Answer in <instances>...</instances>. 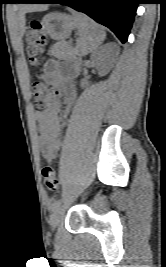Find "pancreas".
<instances>
[{
    "mask_svg": "<svg viewBox=\"0 0 166 267\" xmlns=\"http://www.w3.org/2000/svg\"><path fill=\"white\" fill-rule=\"evenodd\" d=\"M51 53L58 59H70L75 55L74 49L65 42H57L51 48Z\"/></svg>",
    "mask_w": 166,
    "mask_h": 267,
    "instance_id": "obj_1",
    "label": "pancreas"
}]
</instances>
